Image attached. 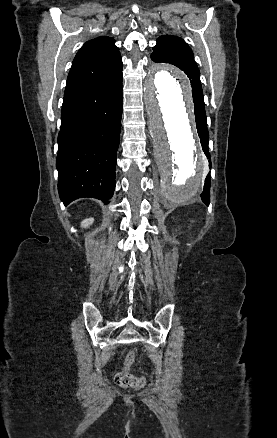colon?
Listing matches in <instances>:
<instances>
[{
	"instance_id": "1",
	"label": "colon",
	"mask_w": 277,
	"mask_h": 438,
	"mask_svg": "<svg viewBox=\"0 0 277 438\" xmlns=\"http://www.w3.org/2000/svg\"><path fill=\"white\" fill-rule=\"evenodd\" d=\"M133 358H134V353L129 352L127 359L129 361H132ZM115 381L118 385H120L122 387H128V388H137V387H141L143 385L145 389H152L154 386V383L152 380H145L144 381L143 378L133 376L126 371H121V372L117 373L115 376Z\"/></svg>"
}]
</instances>
